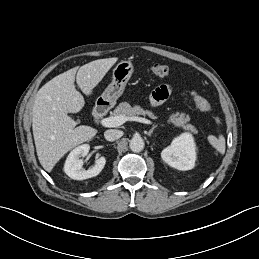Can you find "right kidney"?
<instances>
[{
	"label": "right kidney",
	"instance_id": "obj_1",
	"mask_svg": "<svg viewBox=\"0 0 259 259\" xmlns=\"http://www.w3.org/2000/svg\"><path fill=\"white\" fill-rule=\"evenodd\" d=\"M89 150L90 146L88 144H83L70 152L64 165V171L70 178L84 180L95 177L102 171L106 163V159L103 156L95 160V165L92 168L88 170L82 168L83 160L80 158L85 157Z\"/></svg>",
	"mask_w": 259,
	"mask_h": 259
}]
</instances>
